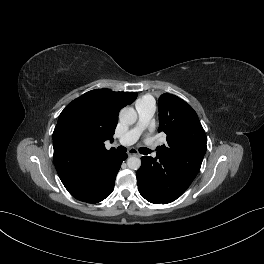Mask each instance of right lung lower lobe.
I'll use <instances>...</instances> for the list:
<instances>
[{"instance_id": "1", "label": "right lung lower lobe", "mask_w": 264, "mask_h": 264, "mask_svg": "<svg viewBox=\"0 0 264 264\" xmlns=\"http://www.w3.org/2000/svg\"><path fill=\"white\" fill-rule=\"evenodd\" d=\"M126 158L127 155L121 153H115L110 157L99 171V185L95 192L89 197H76V199L87 203H97L107 198L113 192L116 175L121 167V163Z\"/></svg>"}]
</instances>
